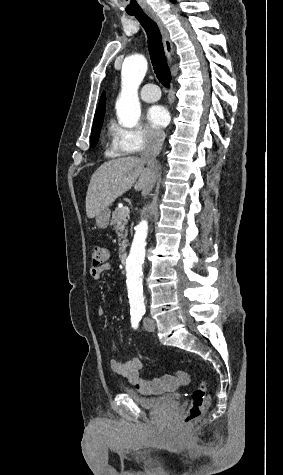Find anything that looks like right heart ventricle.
<instances>
[{"instance_id": "e07e8e85", "label": "right heart ventricle", "mask_w": 283, "mask_h": 475, "mask_svg": "<svg viewBox=\"0 0 283 475\" xmlns=\"http://www.w3.org/2000/svg\"><path fill=\"white\" fill-rule=\"evenodd\" d=\"M113 126L111 124H108L105 128V132L107 133L108 136H111L113 133Z\"/></svg>"}]
</instances>
